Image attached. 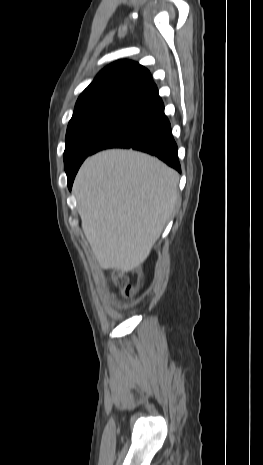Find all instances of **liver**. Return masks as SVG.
<instances>
[{
    "label": "liver",
    "mask_w": 263,
    "mask_h": 465,
    "mask_svg": "<svg viewBox=\"0 0 263 465\" xmlns=\"http://www.w3.org/2000/svg\"><path fill=\"white\" fill-rule=\"evenodd\" d=\"M178 182L174 169L133 150H106L84 161L73 192L101 268L131 271L143 264L173 214Z\"/></svg>",
    "instance_id": "1"
}]
</instances>
